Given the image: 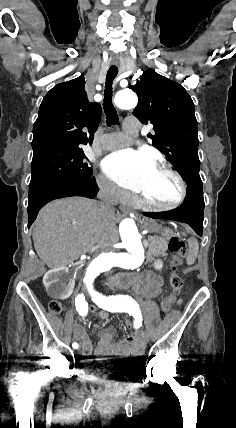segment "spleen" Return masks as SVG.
Wrapping results in <instances>:
<instances>
[{
    "label": "spleen",
    "instance_id": "spleen-1",
    "mask_svg": "<svg viewBox=\"0 0 236 428\" xmlns=\"http://www.w3.org/2000/svg\"><path fill=\"white\" fill-rule=\"evenodd\" d=\"M188 246H189V254L186 258V262L188 266H192V264H194L198 256V250H199V246L196 238H189Z\"/></svg>",
    "mask_w": 236,
    "mask_h": 428
}]
</instances>
